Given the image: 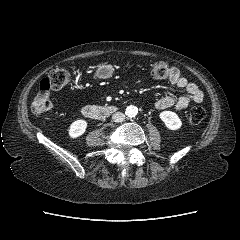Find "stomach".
Here are the masks:
<instances>
[{"instance_id": "0dacf381", "label": "stomach", "mask_w": 240, "mask_h": 240, "mask_svg": "<svg viewBox=\"0 0 240 240\" xmlns=\"http://www.w3.org/2000/svg\"><path fill=\"white\" fill-rule=\"evenodd\" d=\"M113 73V68L110 65H101L96 70V76L100 78H109Z\"/></svg>"}]
</instances>
